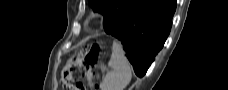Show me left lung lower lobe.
Wrapping results in <instances>:
<instances>
[{
  "label": "left lung lower lobe",
  "instance_id": "1",
  "mask_svg": "<svg viewBox=\"0 0 228 90\" xmlns=\"http://www.w3.org/2000/svg\"><path fill=\"white\" fill-rule=\"evenodd\" d=\"M174 0H130L128 8L105 29L121 41L137 76L142 77L170 32Z\"/></svg>",
  "mask_w": 228,
  "mask_h": 90
}]
</instances>
